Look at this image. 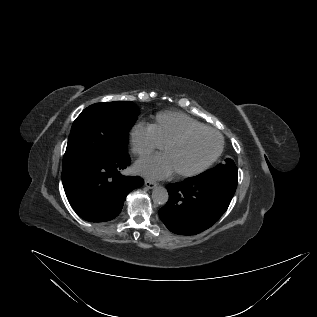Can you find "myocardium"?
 Instances as JSON below:
<instances>
[{"mask_svg": "<svg viewBox=\"0 0 317 317\" xmlns=\"http://www.w3.org/2000/svg\"><path fill=\"white\" fill-rule=\"evenodd\" d=\"M201 132H212V133H215L219 137V146L217 150L208 160H206L204 163H202L198 167L188 171L174 172L175 176L184 178V177H192V176L198 175L204 172L206 169H208L221 155L224 149V138L218 130L211 127H207V126L197 127V128H188L182 131L181 133L172 137L171 139H169L168 141L164 143L163 151L165 152L168 148L183 142L189 136L196 133H201Z\"/></svg>", "mask_w": 317, "mask_h": 317, "instance_id": "1", "label": "myocardium"}]
</instances>
